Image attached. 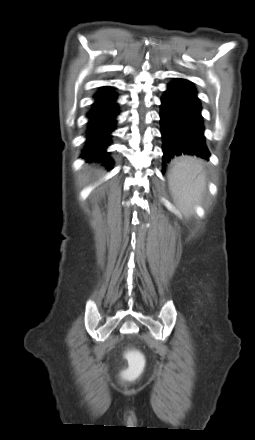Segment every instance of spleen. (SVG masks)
Wrapping results in <instances>:
<instances>
[{
    "instance_id": "3e777b00",
    "label": "spleen",
    "mask_w": 255,
    "mask_h": 440,
    "mask_svg": "<svg viewBox=\"0 0 255 440\" xmlns=\"http://www.w3.org/2000/svg\"><path fill=\"white\" fill-rule=\"evenodd\" d=\"M169 179L179 209L186 217L190 216L193 203L201 195L205 185L201 164L194 157L176 158L172 163Z\"/></svg>"
}]
</instances>
